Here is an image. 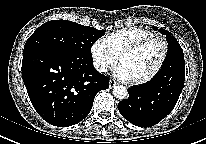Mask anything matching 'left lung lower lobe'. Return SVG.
I'll return each instance as SVG.
<instances>
[{
	"mask_svg": "<svg viewBox=\"0 0 206 144\" xmlns=\"http://www.w3.org/2000/svg\"><path fill=\"white\" fill-rule=\"evenodd\" d=\"M184 80L185 66H171L149 82L129 88V98L119 102L118 110L133 125L151 127L173 110Z\"/></svg>",
	"mask_w": 206,
	"mask_h": 144,
	"instance_id": "1",
	"label": "left lung lower lobe"
}]
</instances>
